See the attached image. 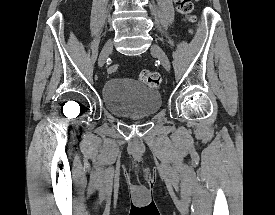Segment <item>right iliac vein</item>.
Instances as JSON below:
<instances>
[{
    "instance_id": "1",
    "label": "right iliac vein",
    "mask_w": 275,
    "mask_h": 215,
    "mask_svg": "<svg viewBox=\"0 0 275 215\" xmlns=\"http://www.w3.org/2000/svg\"><path fill=\"white\" fill-rule=\"evenodd\" d=\"M113 50V43L111 40H108L106 42V44L104 45L100 56H99V66H103V64L105 63L108 55L111 53V51Z\"/></svg>"
}]
</instances>
